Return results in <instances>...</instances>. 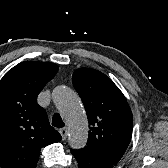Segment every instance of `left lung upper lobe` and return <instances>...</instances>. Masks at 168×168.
<instances>
[{"instance_id":"obj_1","label":"left lung upper lobe","mask_w":168,"mask_h":168,"mask_svg":"<svg viewBox=\"0 0 168 168\" xmlns=\"http://www.w3.org/2000/svg\"><path fill=\"white\" fill-rule=\"evenodd\" d=\"M72 83L84 104L89 126V153L116 164L132 136L133 116L123 93L105 74L90 68L73 73Z\"/></svg>"}]
</instances>
